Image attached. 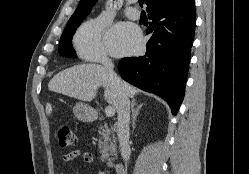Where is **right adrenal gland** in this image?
Masks as SVG:
<instances>
[{
    "label": "right adrenal gland",
    "mask_w": 249,
    "mask_h": 174,
    "mask_svg": "<svg viewBox=\"0 0 249 174\" xmlns=\"http://www.w3.org/2000/svg\"><path fill=\"white\" fill-rule=\"evenodd\" d=\"M143 106V104H137L136 100L133 99L131 102V110H132V128L133 130L135 129V120H136V116L139 113V110L141 109V107Z\"/></svg>",
    "instance_id": "2a0ac1e0"
}]
</instances>
